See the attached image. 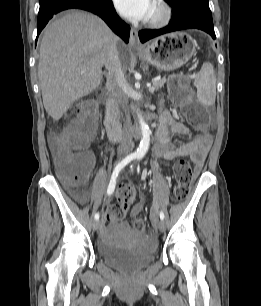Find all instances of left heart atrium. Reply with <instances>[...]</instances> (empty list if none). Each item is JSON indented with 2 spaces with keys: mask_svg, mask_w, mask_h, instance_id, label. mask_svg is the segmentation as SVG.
<instances>
[{
  "mask_svg": "<svg viewBox=\"0 0 261 306\" xmlns=\"http://www.w3.org/2000/svg\"><path fill=\"white\" fill-rule=\"evenodd\" d=\"M118 12L130 20H143L149 17L154 0H114Z\"/></svg>",
  "mask_w": 261,
  "mask_h": 306,
  "instance_id": "1",
  "label": "left heart atrium"
}]
</instances>
